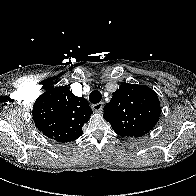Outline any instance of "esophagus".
I'll use <instances>...</instances> for the list:
<instances>
[{
	"label": "esophagus",
	"mask_w": 196,
	"mask_h": 196,
	"mask_svg": "<svg viewBox=\"0 0 196 196\" xmlns=\"http://www.w3.org/2000/svg\"><path fill=\"white\" fill-rule=\"evenodd\" d=\"M91 108L94 112H101L103 110V102L93 104Z\"/></svg>",
	"instance_id": "esophagus-1"
}]
</instances>
